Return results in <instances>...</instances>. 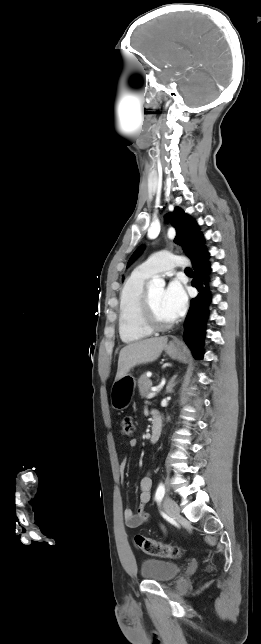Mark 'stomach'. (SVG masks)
<instances>
[{"mask_svg": "<svg viewBox=\"0 0 261 644\" xmlns=\"http://www.w3.org/2000/svg\"><path fill=\"white\" fill-rule=\"evenodd\" d=\"M164 351L170 358L182 363H187L190 359L189 351L180 343L170 342L165 346ZM135 387L136 380L131 374H126L115 381L110 392L112 407L116 410L126 409L133 400Z\"/></svg>", "mask_w": 261, "mask_h": 644, "instance_id": "0dacf381", "label": "stomach"}]
</instances>
